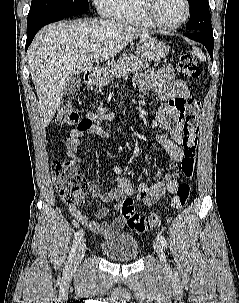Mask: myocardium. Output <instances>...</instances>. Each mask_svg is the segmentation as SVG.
Returning a JSON list of instances; mask_svg holds the SVG:
<instances>
[{
	"mask_svg": "<svg viewBox=\"0 0 239 303\" xmlns=\"http://www.w3.org/2000/svg\"><path fill=\"white\" fill-rule=\"evenodd\" d=\"M138 1V5H139V11L140 13L143 15V17L146 19V21L155 28L158 29H163V30H174L177 29L179 27H181L182 25H184L191 14V5H190V1L189 0H183L184 4H185V15L184 17L177 23L174 24H164L161 23L160 21H158L156 19V17L154 16V6H155V2L156 0H137Z\"/></svg>",
	"mask_w": 239,
	"mask_h": 303,
	"instance_id": "myocardium-1",
	"label": "myocardium"
}]
</instances>
